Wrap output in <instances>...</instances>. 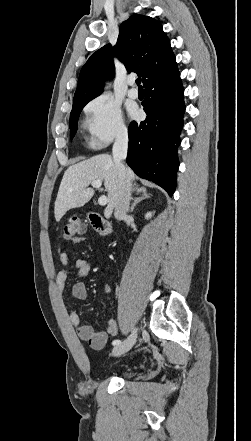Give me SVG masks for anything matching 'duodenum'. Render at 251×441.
I'll use <instances>...</instances> for the list:
<instances>
[{
    "mask_svg": "<svg viewBox=\"0 0 251 441\" xmlns=\"http://www.w3.org/2000/svg\"><path fill=\"white\" fill-rule=\"evenodd\" d=\"M92 227L101 235L105 236L111 232L109 222L96 212H90L88 215Z\"/></svg>",
    "mask_w": 251,
    "mask_h": 441,
    "instance_id": "obj_1",
    "label": "duodenum"
}]
</instances>
